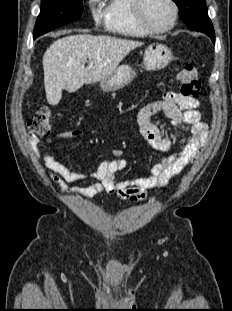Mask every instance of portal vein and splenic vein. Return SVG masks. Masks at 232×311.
<instances>
[{
  "label": "portal vein and splenic vein",
  "instance_id": "1",
  "mask_svg": "<svg viewBox=\"0 0 232 311\" xmlns=\"http://www.w3.org/2000/svg\"><path fill=\"white\" fill-rule=\"evenodd\" d=\"M97 60H98V61H100V60H101V58H100V57H97Z\"/></svg>",
  "mask_w": 232,
  "mask_h": 311
}]
</instances>
